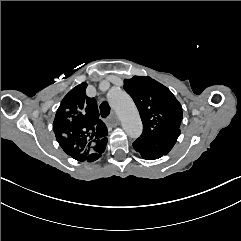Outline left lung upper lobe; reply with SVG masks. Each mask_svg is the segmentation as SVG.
I'll use <instances>...</instances> for the list:
<instances>
[{
	"mask_svg": "<svg viewBox=\"0 0 241 241\" xmlns=\"http://www.w3.org/2000/svg\"><path fill=\"white\" fill-rule=\"evenodd\" d=\"M124 89L133 98L143 122L137 142L155 147L164 135L180 132L182 107L167 87L151 77L134 76L124 81Z\"/></svg>",
	"mask_w": 241,
	"mask_h": 241,
	"instance_id": "5c2ea615",
	"label": "left lung upper lobe"
}]
</instances>
